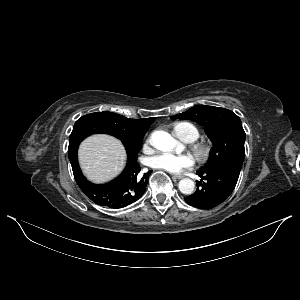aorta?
Here are the masks:
<instances>
[{
	"instance_id": "obj_1",
	"label": "aorta",
	"mask_w": 300,
	"mask_h": 300,
	"mask_svg": "<svg viewBox=\"0 0 300 300\" xmlns=\"http://www.w3.org/2000/svg\"><path fill=\"white\" fill-rule=\"evenodd\" d=\"M151 144L161 151H170L177 145L176 140L166 131L157 130L151 135ZM178 188L181 193L190 195L194 192L195 184L189 178L179 181Z\"/></svg>"
}]
</instances>
